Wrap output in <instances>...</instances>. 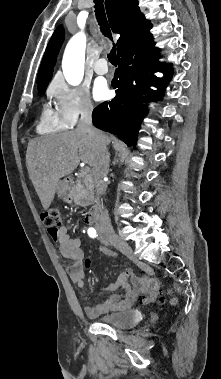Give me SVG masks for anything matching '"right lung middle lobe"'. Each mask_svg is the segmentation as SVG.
<instances>
[{
    "label": "right lung middle lobe",
    "instance_id": "dd1d6c3e",
    "mask_svg": "<svg viewBox=\"0 0 221 379\" xmlns=\"http://www.w3.org/2000/svg\"><path fill=\"white\" fill-rule=\"evenodd\" d=\"M45 90H46V86H43V87H39V88H38V92H39L40 94H44V93H45Z\"/></svg>",
    "mask_w": 221,
    "mask_h": 379
}]
</instances>
